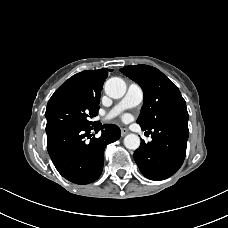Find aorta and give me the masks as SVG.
<instances>
[{
  "mask_svg": "<svg viewBox=\"0 0 228 228\" xmlns=\"http://www.w3.org/2000/svg\"><path fill=\"white\" fill-rule=\"evenodd\" d=\"M104 89L109 97L119 99L126 93V83L119 77H112L106 81ZM124 145L127 149L136 150L140 146V138L136 134H128L124 138Z\"/></svg>",
  "mask_w": 228,
  "mask_h": 228,
  "instance_id": "1",
  "label": "aorta"
}]
</instances>
